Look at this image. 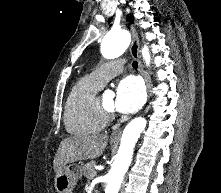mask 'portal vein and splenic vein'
<instances>
[{"instance_id": "1", "label": "portal vein and splenic vein", "mask_w": 221, "mask_h": 193, "mask_svg": "<svg viewBox=\"0 0 221 193\" xmlns=\"http://www.w3.org/2000/svg\"><path fill=\"white\" fill-rule=\"evenodd\" d=\"M96 175H97V173H96V171H94V172H93V176H96Z\"/></svg>"}]
</instances>
